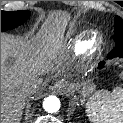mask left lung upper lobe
<instances>
[{
	"mask_svg": "<svg viewBox=\"0 0 123 123\" xmlns=\"http://www.w3.org/2000/svg\"><path fill=\"white\" fill-rule=\"evenodd\" d=\"M114 41L115 48L108 58L123 57V20L119 16L115 17Z\"/></svg>",
	"mask_w": 123,
	"mask_h": 123,
	"instance_id": "left-lung-upper-lobe-1",
	"label": "left lung upper lobe"
}]
</instances>
